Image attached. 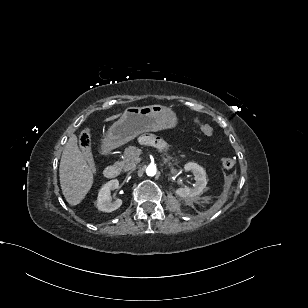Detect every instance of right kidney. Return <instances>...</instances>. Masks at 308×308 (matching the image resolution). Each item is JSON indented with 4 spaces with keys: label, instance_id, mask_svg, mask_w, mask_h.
<instances>
[{
    "label": "right kidney",
    "instance_id": "right-kidney-1",
    "mask_svg": "<svg viewBox=\"0 0 308 308\" xmlns=\"http://www.w3.org/2000/svg\"><path fill=\"white\" fill-rule=\"evenodd\" d=\"M119 187V181L113 179L105 183L102 188L99 190L97 197V208L103 212H112L117 210L122 205V200L117 199L114 202H111V191Z\"/></svg>",
    "mask_w": 308,
    "mask_h": 308
}]
</instances>
